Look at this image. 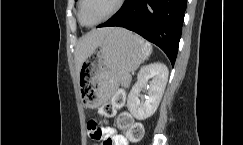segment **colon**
Returning <instances> with one entry per match:
<instances>
[{
  "instance_id": "1",
  "label": "colon",
  "mask_w": 243,
  "mask_h": 145,
  "mask_svg": "<svg viewBox=\"0 0 243 145\" xmlns=\"http://www.w3.org/2000/svg\"><path fill=\"white\" fill-rule=\"evenodd\" d=\"M125 103V93L117 91L109 102L103 104L98 109V113L105 117H112L115 115L116 109L121 108ZM99 122L97 118H91L88 121V130L92 137L99 135ZM118 127L125 133L126 137L133 142L139 141L143 137V126L135 122L129 113L123 112L118 116Z\"/></svg>"
}]
</instances>
